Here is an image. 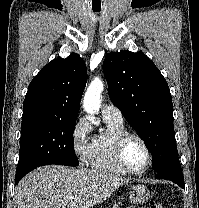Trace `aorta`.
<instances>
[{
    "label": "aorta",
    "mask_w": 199,
    "mask_h": 208,
    "mask_svg": "<svg viewBox=\"0 0 199 208\" xmlns=\"http://www.w3.org/2000/svg\"><path fill=\"white\" fill-rule=\"evenodd\" d=\"M103 91V82L96 78L89 85L83 100L84 110L91 115L90 119L93 123V117L95 113L99 111L101 104V93Z\"/></svg>",
    "instance_id": "aorta-1"
}]
</instances>
